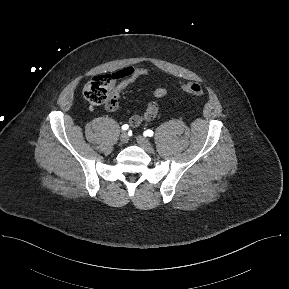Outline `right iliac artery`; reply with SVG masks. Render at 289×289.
Instances as JSON below:
<instances>
[{"label": "right iliac artery", "instance_id": "82829eb1", "mask_svg": "<svg viewBox=\"0 0 289 289\" xmlns=\"http://www.w3.org/2000/svg\"><path fill=\"white\" fill-rule=\"evenodd\" d=\"M129 128V126L127 125V124H124L123 126H122V130H127Z\"/></svg>", "mask_w": 289, "mask_h": 289}]
</instances>
